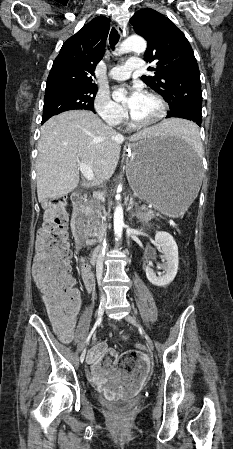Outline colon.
<instances>
[{
  "mask_svg": "<svg viewBox=\"0 0 233 449\" xmlns=\"http://www.w3.org/2000/svg\"><path fill=\"white\" fill-rule=\"evenodd\" d=\"M67 200L64 197L49 200L45 205L44 224L36 242L34 280L42 291L47 309L54 320H72L79 304V295L71 274V251L67 234ZM138 351L125 353L119 363L132 368Z\"/></svg>",
  "mask_w": 233,
  "mask_h": 449,
  "instance_id": "colon-1",
  "label": "colon"
}]
</instances>
